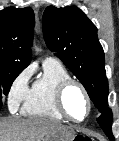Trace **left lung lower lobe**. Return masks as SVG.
I'll list each match as a JSON object with an SVG mask.
<instances>
[{
  "mask_svg": "<svg viewBox=\"0 0 119 141\" xmlns=\"http://www.w3.org/2000/svg\"><path fill=\"white\" fill-rule=\"evenodd\" d=\"M112 119H113L112 112L108 108L106 111L101 113V116L98 118L97 121L100 124L103 131L105 132V134L108 136V138L111 141H114L115 139H114L112 131H111Z\"/></svg>",
  "mask_w": 119,
  "mask_h": 141,
  "instance_id": "obj_1",
  "label": "left lung lower lobe"
}]
</instances>
